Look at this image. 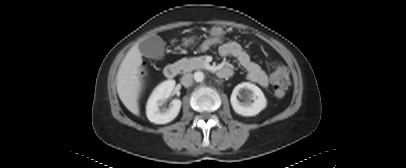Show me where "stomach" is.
I'll return each mask as SVG.
<instances>
[{"instance_id":"1","label":"stomach","mask_w":406,"mask_h":168,"mask_svg":"<svg viewBox=\"0 0 406 168\" xmlns=\"http://www.w3.org/2000/svg\"><path fill=\"white\" fill-rule=\"evenodd\" d=\"M210 33H211L212 36L218 37V38L223 37L224 34H225L224 30H223L221 27H219V26H213V27L211 28ZM192 42H193V39H192V38L186 40V44H189V43H192Z\"/></svg>"}]
</instances>
